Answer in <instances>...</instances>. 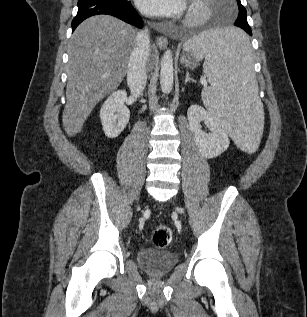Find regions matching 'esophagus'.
<instances>
[{"label": "esophagus", "mask_w": 307, "mask_h": 317, "mask_svg": "<svg viewBox=\"0 0 307 317\" xmlns=\"http://www.w3.org/2000/svg\"><path fill=\"white\" fill-rule=\"evenodd\" d=\"M156 44L160 49H164L167 47L168 45V40L167 38L163 37V36H157L156 37Z\"/></svg>", "instance_id": "1"}]
</instances>
